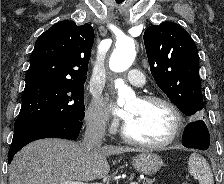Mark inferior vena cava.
I'll return each instance as SVG.
<instances>
[{
	"label": "inferior vena cava",
	"mask_w": 224,
	"mask_h": 184,
	"mask_svg": "<svg viewBox=\"0 0 224 184\" xmlns=\"http://www.w3.org/2000/svg\"><path fill=\"white\" fill-rule=\"evenodd\" d=\"M106 130V120L103 117H96L87 122L84 139L81 143L86 152L97 149L102 144Z\"/></svg>",
	"instance_id": "obj_1"
}]
</instances>
